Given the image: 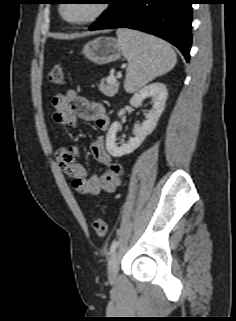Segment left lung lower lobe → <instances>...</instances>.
I'll return each mask as SVG.
<instances>
[{
  "instance_id": "0a47b994",
  "label": "left lung lower lobe",
  "mask_w": 236,
  "mask_h": 321,
  "mask_svg": "<svg viewBox=\"0 0 236 321\" xmlns=\"http://www.w3.org/2000/svg\"><path fill=\"white\" fill-rule=\"evenodd\" d=\"M195 0H114L89 30L130 28L158 36L190 58Z\"/></svg>"
}]
</instances>
